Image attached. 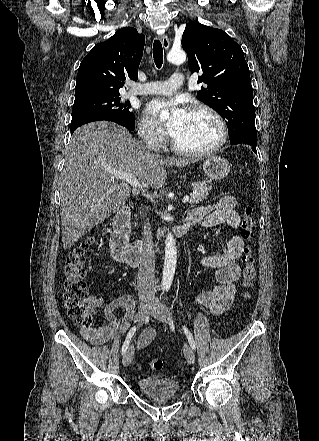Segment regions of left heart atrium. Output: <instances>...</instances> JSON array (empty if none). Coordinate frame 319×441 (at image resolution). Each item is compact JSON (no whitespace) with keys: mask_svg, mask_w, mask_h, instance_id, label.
<instances>
[{"mask_svg":"<svg viewBox=\"0 0 319 441\" xmlns=\"http://www.w3.org/2000/svg\"><path fill=\"white\" fill-rule=\"evenodd\" d=\"M164 110L170 111V117L164 122V126L168 133L173 136L186 117L187 111L181 106V101L177 99L154 100L148 106V111L156 118H159Z\"/></svg>","mask_w":319,"mask_h":441,"instance_id":"obj_1","label":"left heart atrium"}]
</instances>
